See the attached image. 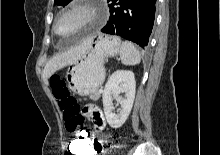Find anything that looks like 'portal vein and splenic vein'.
Listing matches in <instances>:
<instances>
[{"label": "portal vein and splenic vein", "instance_id": "obj_1", "mask_svg": "<svg viewBox=\"0 0 220 155\" xmlns=\"http://www.w3.org/2000/svg\"><path fill=\"white\" fill-rule=\"evenodd\" d=\"M99 93H102V89H99Z\"/></svg>", "mask_w": 220, "mask_h": 155}]
</instances>
